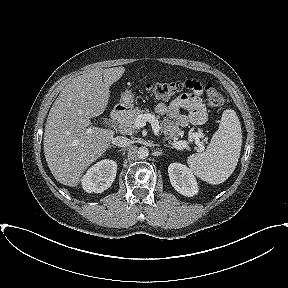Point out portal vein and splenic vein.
<instances>
[{
	"label": "portal vein and splenic vein",
	"mask_w": 288,
	"mask_h": 288,
	"mask_svg": "<svg viewBox=\"0 0 288 288\" xmlns=\"http://www.w3.org/2000/svg\"><path fill=\"white\" fill-rule=\"evenodd\" d=\"M150 122L151 125H152V129H153V132L156 136H159L160 133H159V122L158 120L156 119V117L150 113H147V114H142V115H139L137 116V118L135 119V128H142L146 125V122ZM201 135L199 134H195L194 135V140L197 142L198 146H199V150L200 151H203L204 150V146L201 144V142H199V137ZM173 147L175 149H178V150H181V149H186L188 148V143L186 141H175L172 143Z\"/></svg>",
	"instance_id": "portal-vein-and-splenic-vein-1"
}]
</instances>
